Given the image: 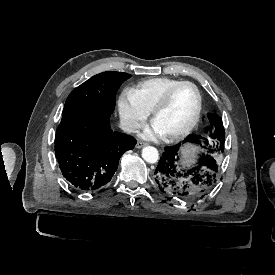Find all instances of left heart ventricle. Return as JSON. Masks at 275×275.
I'll use <instances>...</instances> for the list:
<instances>
[{"instance_id":"1","label":"left heart ventricle","mask_w":275,"mask_h":275,"mask_svg":"<svg viewBox=\"0 0 275 275\" xmlns=\"http://www.w3.org/2000/svg\"><path fill=\"white\" fill-rule=\"evenodd\" d=\"M197 107V95L193 86L183 84L177 87L168 105L159 112L154 124L165 134L184 128L194 116Z\"/></svg>"}]
</instances>
